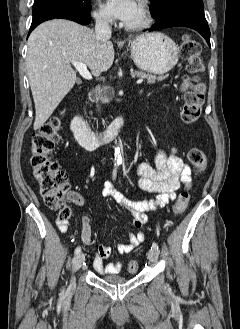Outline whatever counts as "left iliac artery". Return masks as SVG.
I'll return each instance as SVG.
<instances>
[{"instance_id":"44dca946","label":"left iliac artery","mask_w":240,"mask_h":329,"mask_svg":"<svg viewBox=\"0 0 240 329\" xmlns=\"http://www.w3.org/2000/svg\"><path fill=\"white\" fill-rule=\"evenodd\" d=\"M151 249H154V250L159 251V247H158V245L155 242L152 244Z\"/></svg>"}]
</instances>
